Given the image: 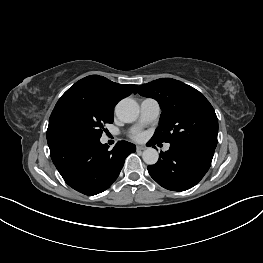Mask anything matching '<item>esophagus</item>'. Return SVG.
<instances>
[{"mask_svg": "<svg viewBox=\"0 0 263 263\" xmlns=\"http://www.w3.org/2000/svg\"><path fill=\"white\" fill-rule=\"evenodd\" d=\"M136 148H137V150L142 151V150H145L147 147L144 145H138Z\"/></svg>", "mask_w": 263, "mask_h": 263, "instance_id": "1", "label": "esophagus"}]
</instances>
